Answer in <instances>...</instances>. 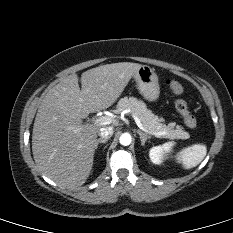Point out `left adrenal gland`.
I'll return each mask as SVG.
<instances>
[{
    "instance_id": "left-adrenal-gland-1",
    "label": "left adrenal gland",
    "mask_w": 233,
    "mask_h": 233,
    "mask_svg": "<svg viewBox=\"0 0 233 233\" xmlns=\"http://www.w3.org/2000/svg\"><path fill=\"white\" fill-rule=\"evenodd\" d=\"M137 133H138L139 136H140V140H141L142 146H144V145H145V142H146L148 139L151 138L150 136L146 135L145 133H143V132L140 131V130H137Z\"/></svg>"
}]
</instances>
